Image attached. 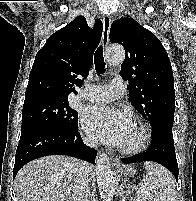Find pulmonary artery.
<instances>
[{"instance_id": "1", "label": "pulmonary artery", "mask_w": 196, "mask_h": 201, "mask_svg": "<svg viewBox=\"0 0 196 201\" xmlns=\"http://www.w3.org/2000/svg\"><path fill=\"white\" fill-rule=\"evenodd\" d=\"M125 91L121 79H113L108 85L90 86L81 92V97L92 102H110L120 97Z\"/></svg>"}]
</instances>
